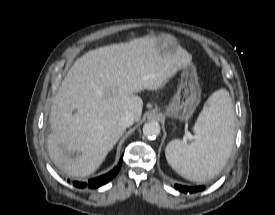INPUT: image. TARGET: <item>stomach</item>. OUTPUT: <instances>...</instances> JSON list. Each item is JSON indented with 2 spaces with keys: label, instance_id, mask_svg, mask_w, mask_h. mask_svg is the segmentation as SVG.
I'll use <instances>...</instances> for the list:
<instances>
[{
  "label": "stomach",
  "instance_id": "0dacf381",
  "mask_svg": "<svg viewBox=\"0 0 275 215\" xmlns=\"http://www.w3.org/2000/svg\"><path fill=\"white\" fill-rule=\"evenodd\" d=\"M156 48L161 54H173L180 47L177 40L169 34L157 37ZM201 99V88L194 65L183 68L178 90L172 101L165 109V114L180 121L189 120Z\"/></svg>",
  "mask_w": 275,
  "mask_h": 215
}]
</instances>
